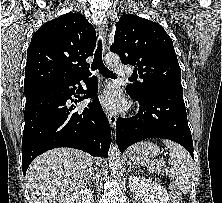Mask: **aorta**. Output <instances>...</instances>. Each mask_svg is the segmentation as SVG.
Listing matches in <instances>:
<instances>
[{"label":"aorta","mask_w":222,"mask_h":203,"mask_svg":"<svg viewBox=\"0 0 222 203\" xmlns=\"http://www.w3.org/2000/svg\"><path fill=\"white\" fill-rule=\"evenodd\" d=\"M119 61L120 58L117 54L108 53L105 56L106 65L110 68L117 66L119 64ZM109 165H110V170L115 177L118 178L122 175L123 166L120 157V151L116 143L114 144L113 142L110 145L109 149Z\"/></svg>","instance_id":"1"}]
</instances>
